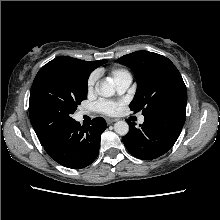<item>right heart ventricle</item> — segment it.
Wrapping results in <instances>:
<instances>
[{"label": "right heart ventricle", "mask_w": 220, "mask_h": 220, "mask_svg": "<svg viewBox=\"0 0 220 220\" xmlns=\"http://www.w3.org/2000/svg\"><path fill=\"white\" fill-rule=\"evenodd\" d=\"M111 74H112L113 80L115 81L117 77L124 75V74H129V72L124 69H113L111 71Z\"/></svg>", "instance_id": "e07e8e85"}]
</instances>
